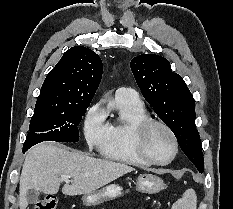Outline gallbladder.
<instances>
[{"label": "gallbladder", "mask_w": 233, "mask_h": 209, "mask_svg": "<svg viewBox=\"0 0 233 209\" xmlns=\"http://www.w3.org/2000/svg\"><path fill=\"white\" fill-rule=\"evenodd\" d=\"M26 199H27L28 203L35 204L39 199V195L37 194V192L35 190L31 189V190L27 191Z\"/></svg>", "instance_id": "bac80fb5"}]
</instances>
